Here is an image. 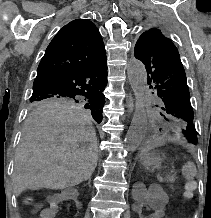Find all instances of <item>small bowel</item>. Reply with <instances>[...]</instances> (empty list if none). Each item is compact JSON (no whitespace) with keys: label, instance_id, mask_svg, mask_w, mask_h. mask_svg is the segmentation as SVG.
I'll use <instances>...</instances> for the list:
<instances>
[{"label":"small bowel","instance_id":"c3829d8e","mask_svg":"<svg viewBox=\"0 0 211 218\" xmlns=\"http://www.w3.org/2000/svg\"><path fill=\"white\" fill-rule=\"evenodd\" d=\"M164 214V207L162 205H151L146 209L145 214L141 218H163ZM41 216L42 218H57L58 208L51 205L42 211Z\"/></svg>","mask_w":211,"mask_h":218}]
</instances>
